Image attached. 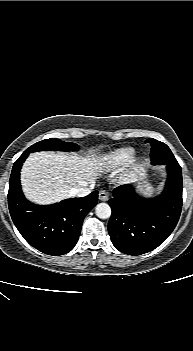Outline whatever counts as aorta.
<instances>
[{"label": "aorta", "instance_id": "762f6f07", "mask_svg": "<svg viewBox=\"0 0 193 351\" xmlns=\"http://www.w3.org/2000/svg\"><path fill=\"white\" fill-rule=\"evenodd\" d=\"M95 213L100 219H108L111 216V207L107 203H99L96 205Z\"/></svg>", "mask_w": 193, "mask_h": 351}]
</instances>
